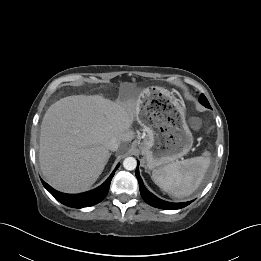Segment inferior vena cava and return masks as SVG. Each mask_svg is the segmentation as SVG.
<instances>
[{"instance_id": "inferior-vena-cava-1", "label": "inferior vena cava", "mask_w": 261, "mask_h": 261, "mask_svg": "<svg viewBox=\"0 0 261 261\" xmlns=\"http://www.w3.org/2000/svg\"><path fill=\"white\" fill-rule=\"evenodd\" d=\"M120 145V141L116 138H112L107 142V148L111 151H117Z\"/></svg>"}]
</instances>
